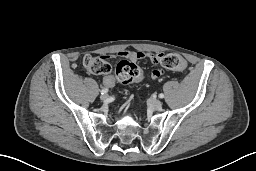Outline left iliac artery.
I'll list each match as a JSON object with an SVG mask.
<instances>
[{
  "instance_id": "44dca946",
  "label": "left iliac artery",
  "mask_w": 256,
  "mask_h": 171,
  "mask_svg": "<svg viewBox=\"0 0 256 171\" xmlns=\"http://www.w3.org/2000/svg\"><path fill=\"white\" fill-rule=\"evenodd\" d=\"M159 98H164V94H159Z\"/></svg>"
}]
</instances>
